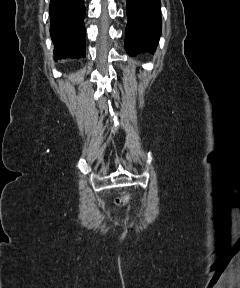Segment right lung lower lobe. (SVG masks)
<instances>
[{
    "label": "right lung lower lobe",
    "instance_id": "right-lung-lower-lobe-1",
    "mask_svg": "<svg viewBox=\"0 0 240 288\" xmlns=\"http://www.w3.org/2000/svg\"><path fill=\"white\" fill-rule=\"evenodd\" d=\"M49 13L55 57L85 58L84 0H51Z\"/></svg>",
    "mask_w": 240,
    "mask_h": 288
}]
</instances>
